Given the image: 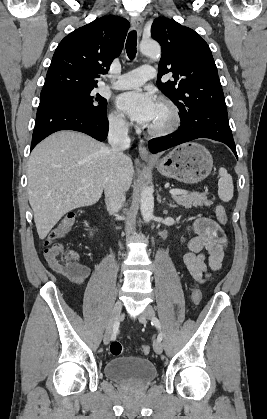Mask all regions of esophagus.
Returning <instances> with one entry per match:
<instances>
[{"mask_svg": "<svg viewBox=\"0 0 267 419\" xmlns=\"http://www.w3.org/2000/svg\"><path fill=\"white\" fill-rule=\"evenodd\" d=\"M131 25L140 35L141 32H142L143 18L141 16L132 17L131 18ZM138 152H139V156L143 159H154V157L149 153V151H148L147 147L145 146L143 140H140V142H139Z\"/></svg>", "mask_w": 267, "mask_h": 419, "instance_id": "34e87169", "label": "esophagus"}]
</instances>
